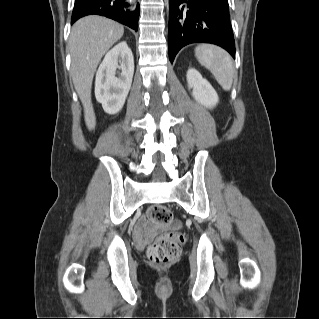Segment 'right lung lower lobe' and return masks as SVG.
Here are the masks:
<instances>
[{"mask_svg":"<svg viewBox=\"0 0 319 319\" xmlns=\"http://www.w3.org/2000/svg\"><path fill=\"white\" fill-rule=\"evenodd\" d=\"M127 0H75L71 24L87 15H101L138 30L139 5L134 11L128 9Z\"/></svg>","mask_w":319,"mask_h":319,"instance_id":"98d812e1","label":"right lung lower lobe"}]
</instances>
